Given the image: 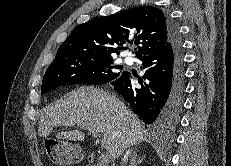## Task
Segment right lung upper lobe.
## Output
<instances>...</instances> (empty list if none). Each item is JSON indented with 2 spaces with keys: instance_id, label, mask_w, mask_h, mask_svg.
<instances>
[{
  "instance_id": "obj_1",
  "label": "right lung upper lobe",
  "mask_w": 231,
  "mask_h": 166,
  "mask_svg": "<svg viewBox=\"0 0 231 166\" xmlns=\"http://www.w3.org/2000/svg\"><path fill=\"white\" fill-rule=\"evenodd\" d=\"M168 20L160 9L152 6L92 19L73 29L55 59L84 54L115 57L127 42L138 45L137 58L150 55L169 42Z\"/></svg>"
}]
</instances>
